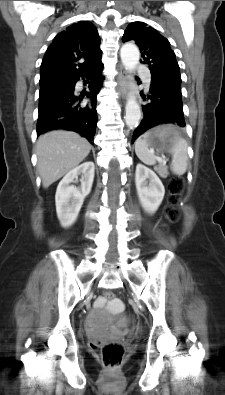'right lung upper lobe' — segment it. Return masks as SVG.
I'll return each instance as SVG.
<instances>
[{"mask_svg": "<svg viewBox=\"0 0 225 395\" xmlns=\"http://www.w3.org/2000/svg\"><path fill=\"white\" fill-rule=\"evenodd\" d=\"M96 27L79 21L56 35L47 48L40 70V89L88 72L101 61Z\"/></svg>", "mask_w": 225, "mask_h": 395, "instance_id": "cb5924a9", "label": "right lung upper lobe"}]
</instances>
